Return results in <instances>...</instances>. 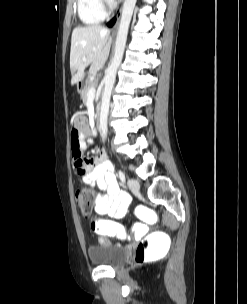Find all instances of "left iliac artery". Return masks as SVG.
Instances as JSON below:
<instances>
[{
    "mask_svg": "<svg viewBox=\"0 0 247 304\" xmlns=\"http://www.w3.org/2000/svg\"><path fill=\"white\" fill-rule=\"evenodd\" d=\"M118 175H119V178H120L121 182L124 183L125 182V174L121 170H119Z\"/></svg>",
    "mask_w": 247,
    "mask_h": 304,
    "instance_id": "44dca946",
    "label": "left iliac artery"
}]
</instances>
